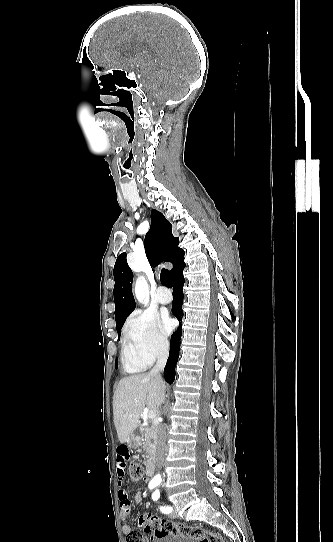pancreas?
<instances>
[{"label":"pancreas","instance_id":"pancreas-1","mask_svg":"<svg viewBox=\"0 0 333 542\" xmlns=\"http://www.w3.org/2000/svg\"><path fill=\"white\" fill-rule=\"evenodd\" d=\"M142 438H144L142 448L146 454V458L148 460H155L157 450L156 426L150 424V426L142 428Z\"/></svg>","mask_w":333,"mask_h":542}]
</instances>
